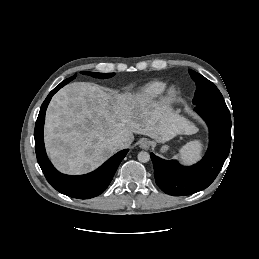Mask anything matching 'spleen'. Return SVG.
<instances>
[{"mask_svg": "<svg viewBox=\"0 0 259 259\" xmlns=\"http://www.w3.org/2000/svg\"><path fill=\"white\" fill-rule=\"evenodd\" d=\"M203 144L199 140L191 141L179 151V157L184 163H192L200 158Z\"/></svg>", "mask_w": 259, "mask_h": 259, "instance_id": "spleen-1", "label": "spleen"}]
</instances>
